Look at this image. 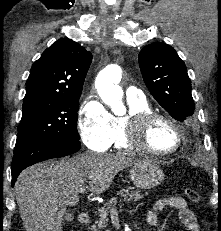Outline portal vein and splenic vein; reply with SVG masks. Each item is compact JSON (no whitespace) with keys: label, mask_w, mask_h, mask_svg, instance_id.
<instances>
[{"label":"portal vein and splenic vein","mask_w":221,"mask_h":231,"mask_svg":"<svg viewBox=\"0 0 221 231\" xmlns=\"http://www.w3.org/2000/svg\"><path fill=\"white\" fill-rule=\"evenodd\" d=\"M85 190H86V189H85V187H81V188L79 189V191H78V192H79L80 194H82V193H84V192H85Z\"/></svg>","instance_id":"18ae733b"}]
</instances>
